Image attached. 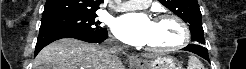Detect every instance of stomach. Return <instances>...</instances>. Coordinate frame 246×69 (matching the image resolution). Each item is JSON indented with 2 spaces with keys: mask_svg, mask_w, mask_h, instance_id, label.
I'll return each instance as SVG.
<instances>
[{
  "mask_svg": "<svg viewBox=\"0 0 246 69\" xmlns=\"http://www.w3.org/2000/svg\"><path fill=\"white\" fill-rule=\"evenodd\" d=\"M135 69H182L172 57H157L152 60H141L134 64Z\"/></svg>",
  "mask_w": 246,
  "mask_h": 69,
  "instance_id": "stomach-1",
  "label": "stomach"
}]
</instances>
